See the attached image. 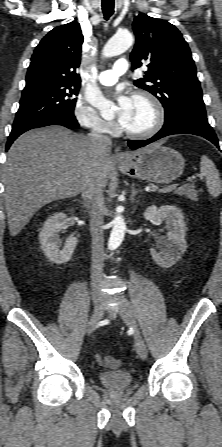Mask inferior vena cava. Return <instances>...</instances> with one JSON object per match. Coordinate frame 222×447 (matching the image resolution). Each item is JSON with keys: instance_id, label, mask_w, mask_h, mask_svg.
Here are the masks:
<instances>
[{"instance_id": "obj_1", "label": "inferior vena cava", "mask_w": 222, "mask_h": 447, "mask_svg": "<svg viewBox=\"0 0 222 447\" xmlns=\"http://www.w3.org/2000/svg\"><path fill=\"white\" fill-rule=\"evenodd\" d=\"M88 136L94 142V149L97 154L110 151L112 142L109 136L96 131H92ZM103 188L104 185L94 176L86 180L82 191L83 198L90 204V233L92 237L91 284L96 294L97 284L102 279L103 271Z\"/></svg>"}]
</instances>
